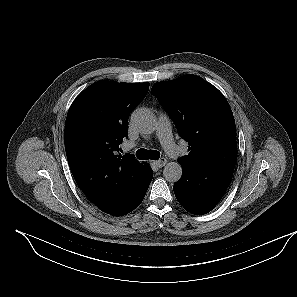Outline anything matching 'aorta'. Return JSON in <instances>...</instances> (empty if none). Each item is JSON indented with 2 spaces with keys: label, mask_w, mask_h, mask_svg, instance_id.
I'll use <instances>...</instances> for the list:
<instances>
[{
  "label": "aorta",
  "mask_w": 297,
  "mask_h": 297,
  "mask_svg": "<svg viewBox=\"0 0 297 297\" xmlns=\"http://www.w3.org/2000/svg\"><path fill=\"white\" fill-rule=\"evenodd\" d=\"M131 122L141 133H151L155 129V118L153 114L145 109L138 108L131 115ZM164 178L171 183L177 182L182 176V167L177 162H169L163 169Z\"/></svg>",
  "instance_id": "1"
}]
</instances>
